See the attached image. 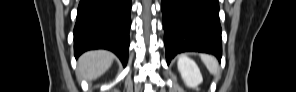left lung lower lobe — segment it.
<instances>
[{
    "label": "left lung lower lobe",
    "mask_w": 296,
    "mask_h": 92,
    "mask_svg": "<svg viewBox=\"0 0 296 92\" xmlns=\"http://www.w3.org/2000/svg\"><path fill=\"white\" fill-rule=\"evenodd\" d=\"M167 64L181 52L222 56L218 0H161Z\"/></svg>",
    "instance_id": "obj_1"
}]
</instances>
